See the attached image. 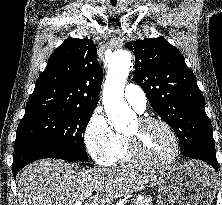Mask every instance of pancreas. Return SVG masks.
Listing matches in <instances>:
<instances>
[{"mask_svg": "<svg viewBox=\"0 0 222 205\" xmlns=\"http://www.w3.org/2000/svg\"><path fill=\"white\" fill-rule=\"evenodd\" d=\"M135 205H152V198L150 196L142 197Z\"/></svg>", "mask_w": 222, "mask_h": 205, "instance_id": "1", "label": "pancreas"}]
</instances>
